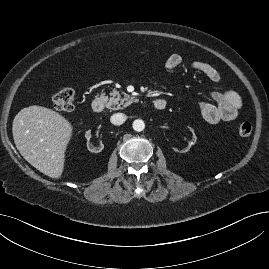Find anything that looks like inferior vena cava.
I'll return each mask as SVG.
<instances>
[{
  "mask_svg": "<svg viewBox=\"0 0 269 269\" xmlns=\"http://www.w3.org/2000/svg\"><path fill=\"white\" fill-rule=\"evenodd\" d=\"M127 119V116L123 113L113 114L110 118V122L113 125H122Z\"/></svg>",
  "mask_w": 269,
  "mask_h": 269,
  "instance_id": "602c4592",
  "label": "inferior vena cava"
}]
</instances>
